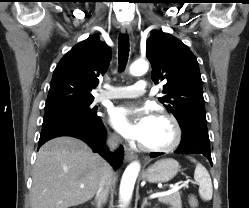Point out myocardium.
I'll list each match as a JSON object with an SVG mask.
<instances>
[{"instance_id": "obj_1", "label": "myocardium", "mask_w": 249, "mask_h": 208, "mask_svg": "<svg viewBox=\"0 0 249 208\" xmlns=\"http://www.w3.org/2000/svg\"><path fill=\"white\" fill-rule=\"evenodd\" d=\"M154 117L161 118L169 122L173 130V138L168 144L164 146L153 147V146L141 144L140 148L143 151L150 152V153H163V152H168V151L173 150L180 144L181 139H182V129H181V126L178 120L173 115L165 111H156L154 114Z\"/></svg>"}]
</instances>
